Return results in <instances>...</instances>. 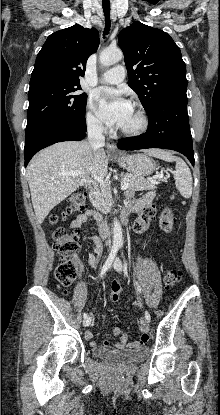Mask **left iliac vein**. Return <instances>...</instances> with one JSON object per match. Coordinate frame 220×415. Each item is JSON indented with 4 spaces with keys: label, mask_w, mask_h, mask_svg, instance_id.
<instances>
[{
    "label": "left iliac vein",
    "mask_w": 220,
    "mask_h": 415,
    "mask_svg": "<svg viewBox=\"0 0 220 415\" xmlns=\"http://www.w3.org/2000/svg\"><path fill=\"white\" fill-rule=\"evenodd\" d=\"M114 269L116 270V271H118V272H122L123 271V268H122V264H121V261H120V259L119 258H116L115 259V262H114ZM146 320H147V322L149 323V321L151 320H148L147 318H146Z\"/></svg>",
    "instance_id": "obj_1"
}]
</instances>
